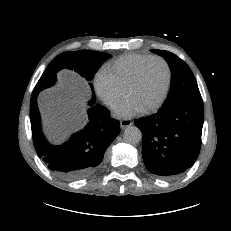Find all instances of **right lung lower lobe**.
I'll return each mask as SVG.
<instances>
[{"instance_id": "obj_1", "label": "right lung lower lobe", "mask_w": 231, "mask_h": 231, "mask_svg": "<svg viewBox=\"0 0 231 231\" xmlns=\"http://www.w3.org/2000/svg\"><path fill=\"white\" fill-rule=\"evenodd\" d=\"M37 95L33 92L31 96L30 121L38 156L50 170L66 179L77 180L93 174L99 168L106 149L120 133L118 120L110 118L104 106H92V100L87 126L65 145L55 146L47 142L40 131Z\"/></svg>"}]
</instances>
